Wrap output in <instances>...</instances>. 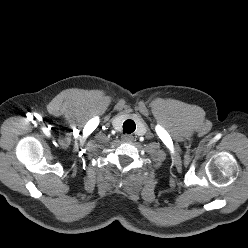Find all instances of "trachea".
Listing matches in <instances>:
<instances>
[{
	"label": "trachea",
	"instance_id": "trachea-1",
	"mask_svg": "<svg viewBox=\"0 0 248 248\" xmlns=\"http://www.w3.org/2000/svg\"><path fill=\"white\" fill-rule=\"evenodd\" d=\"M135 128V122L131 119H128L123 123V133L131 134L135 131Z\"/></svg>",
	"mask_w": 248,
	"mask_h": 248
}]
</instances>
